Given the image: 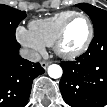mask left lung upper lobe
I'll return each instance as SVG.
<instances>
[{"mask_svg": "<svg viewBox=\"0 0 107 107\" xmlns=\"http://www.w3.org/2000/svg\"><path fill=\"white\" fill-rule=\"evenodd\" d=\"M77 6L90 16L94 26V33L107 27V11L86 3L77 4Z\"/></svg>", "mask_w": 107, "mask_h": 107, "instance_id": "left-lung-upper-lobe-1", "label": "left lung upper lobe"}]
</instances>
